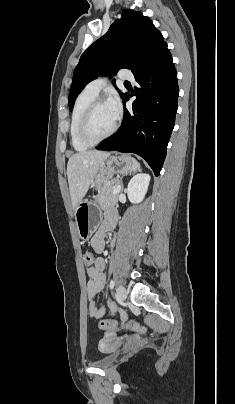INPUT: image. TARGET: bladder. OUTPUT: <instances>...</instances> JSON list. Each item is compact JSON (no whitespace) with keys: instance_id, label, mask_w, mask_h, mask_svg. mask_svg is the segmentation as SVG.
<instances>
[{"instance_id":"1","label":"bladder","mask_w":235,"mask_h":404,"mask_svg":"<svg viewBox=\"0 0 235 404\" xmlns=\"http://www.w3.org/2000/svg\"><path fill=\"white\" fill-rule=\"evenodd\" d=\"M101 348L103 349V351L111 352V353L102 356L100 359L95 361L93 364L99 368L106 369V368L111 367L115 363V361L118 358V353L116 352V350H108L103 347H101Z\"/></svg>"}]
</instances>
